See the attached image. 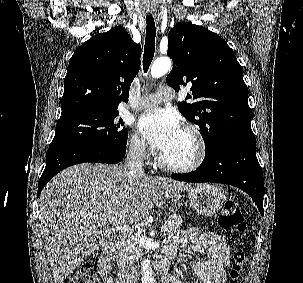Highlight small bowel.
I'll return each mask as SVG.
<instances>
[{"mask_svg": "<svg viewBox=\"0 0 303 283\" xmlns=\"http://www.w3.org/2000/svg\"><path fill=\"white\" fill-rule=\"evenodd\" d=\"M189 244L195 253L206 255L207 260L194 259L184 251L180 254L177 265L192 264L201 283H225L226 268L230 265V253L225 238L216 233L201 232L194 227L187 228L167 240L164 259L166 261L173 259L178 246L185 248ZM111 269L109 259L101 257L98 266L100 283H113ZM164 280L172 283H189L178 280L172 273Z\"/></svg>", "mask_w": 303, "mask_h": 283, "instance_id": "1", "label": "small bowel"}]
</instances>
